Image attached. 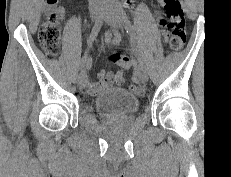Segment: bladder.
Here are the masks:
<instances>
[{"instance_id": "obj_1", "label": "bladder", "mask_w": 231, "mask_h": 177, "mask_svg": "<svg viewBox=\"0 0 231 177\" xmlns=\"http://www.w3.org/2000/svg\"><path fill=\"white\" fill-rule=\"evenodd\" d=\"M94 106L103 117L119 118L135 113L139 108V100L125 89L110 88L95 98Z\"/></svg>"}]
</instances>
